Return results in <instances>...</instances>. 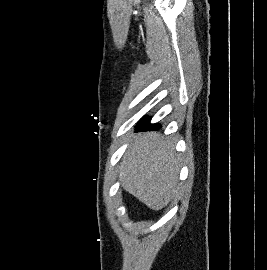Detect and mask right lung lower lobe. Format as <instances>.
I'll return each instance as SVG.
<instances>
[{
  "label": "right lung lower lobe",
  "instance_id": "right-lung-lower-lobe-1",
  "mask_svg": "<svg viewBox=\"0 0 267 270\" xmlns=\"http://www.w3.org/2000/svg\"><path fill=\"white\" fill-rule=\"evenodd\" d=\"M150 119L149 117H146L144 119H142L137 127H136V131H141V130H157L160 128L159 124H150Z\"/></svg>",
  "mask_w": 267,
  "mask_h": 270
}]
</instances>
